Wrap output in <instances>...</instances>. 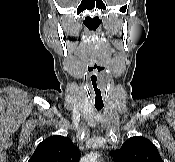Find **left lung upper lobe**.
I'll use <instances>...</instances> for the list:
<instances>
[{
    "mask_svg": "<svg viewBox=\"0 0 175 162\" xmlns=\"http://www.w3.org/2000/svg\"><path fill=\"white\" fill-rule=\"evenodd\" d=\"M115 162H163L158 149L144 137L129 138L120 149L111 152Z\"/></svg>",
    "mask_w": 175,
    "mask_h": 162,
    "instance_id": "left-lung-upper-lobe-1",
    "label": "left lung upper lobe"
}]
</instances>
